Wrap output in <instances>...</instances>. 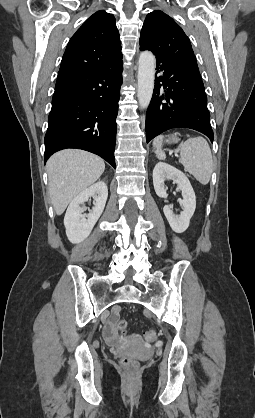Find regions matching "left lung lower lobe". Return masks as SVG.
<instances>
[{
    "label": "left lung lower lobe",
    "mask_w": 255,
    "mask_h": 418,
    "mask_svg": "<svg viewBox=\"0 0 255 418\" xmlns=\"http://www.w3.org/2000/svg\"><path fill=\"white\" fill-rule=\"evenodd\" d=\"M156 70L146 114L147 143L171 128L194 129L213 141L207 96L195 55L156 57Z\"/></svg>",
    "instance_id": "obj_1"
}]
</instances>
